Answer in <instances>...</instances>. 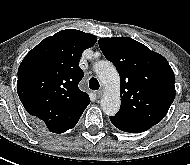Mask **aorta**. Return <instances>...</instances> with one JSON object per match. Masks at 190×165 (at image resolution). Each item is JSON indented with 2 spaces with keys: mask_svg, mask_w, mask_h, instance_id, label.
<instances>
[{
  "mask_svg": "<svg viewBox=\"0 0 190 165\" xmlns=\"http://www.w3.org/2000/svg\"><path fill=\"white\" fill-rule=\"evenodd\" d=\"M94 70L105 87L101 98L100 106L103 112L108 115H115L120 108V77L109 61H100L95 64Z\"/></svg>",
  "mask_w": 190,
  "mask_h": 165,
  "instance_id": "obj_1",
  "label": "aorta"
}]
</instances>
